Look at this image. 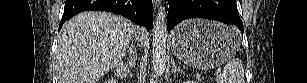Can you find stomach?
Masks as SVG:
<instances>
[{"instance_id":"obj_1","label":"stomach","mask_w":307,"mask_h":83,"mask_svg":"<svg viewBox=\"0 0 307 83\" xmlns=\"http://www.w3.org/2000/svg\"><path fill=\"white\" fill-rule=\"evenodd\" d=\"M241 35L233 26L210 20H189L171 37L172 52L184 63L197 68L218 67L236 54Z\"/></svg>"}]
</instances>
